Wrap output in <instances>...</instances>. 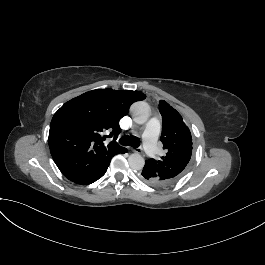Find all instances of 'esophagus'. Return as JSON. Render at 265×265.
I'll return each mask as SVG.
<instances>
[{
	"mask_svg": "<svg viewBox=\"0 0 265 265\" xmlns=\"http://www.w3.org/2000/svg\"><path fill=\"white\" fill-rule=\"evenodd\" d=\"M133 151L136 153H142L143 148H142V146H139V147L135 148Z\"/></svg>",
	"mask_w": 265,
	"mask_h": 265,
	"instance_id": "1",
	"label": "esophagus"
}]
</instances>
